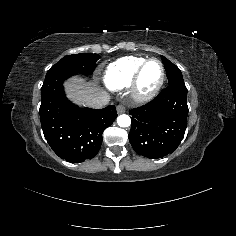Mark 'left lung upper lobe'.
I'll use <instances>...</instances> for the list:
<instances>
[{"mask_svg":"<svg viewBox=\"0 0 236 236\" xmlns=\"http://www.w3.org/2000/svg\"><path fill=\"white\" fill-rule=\"evenodd\" d=\"M161 59L164 63V67L166 70L168 84L170 85L174 83L184 82L182 73L179 68L164 56H161Z\"/></svg>","mask_w":236,"mask_h":236,"instance_id":"left-lung-upper-lobe-1","label":"left lung upper lobe"}]
</instances>
